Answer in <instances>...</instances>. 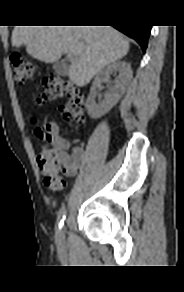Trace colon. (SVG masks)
Here are the masks:
<instances>
[{
	"label": "colon",
	"instance_id": "obj_1",
	"mask_svg": "<svg viewBox=\"0 0 184 292\" xmlns=\"http://www.w3.org/2000/svg\"><path fill=\"white\" fill-rule=\"evenodd\" d=\"M11 67L14 81L25 85L35 77L34 66L19 55L11 57ZM61 98H66L61 106V115L66 121L81 123L84 119V98L81 92L68 81L57 74H48L43 80V90L36 96L39 104H46ZM54 122H46L36 128V136L44 143L51 144L56 132ZM38 166L44 176L45 186L52 191H59L64 186V180L59 175L60 165L56 151L42 147L37 156Z\"/></svg>",
	"mask_w": 184,
	"mask_h": 292
}]
</instances>
